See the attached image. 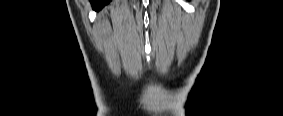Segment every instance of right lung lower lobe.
Listing matches in <instances>:
<instances>
[{"mask_svg":"<svg viewBox=\"0 0 283 116\" xmlns=\"http://www.w3.org/2000/svg\"><path fill=\"white\" fill-rule=\"evenodd\" d=\"M93 8L95 10H100L102 9L106 4L110 2V0H90Z\"/></svg>","mask_w":283,"mask_h":116,"instance_id":"obj_1","label":"right lung lower lobe"}]
</instances>
